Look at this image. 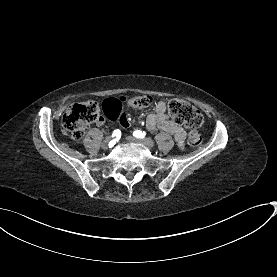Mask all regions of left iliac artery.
<instances>
[{
	"instance_id": "left-iliac-artery-1",
	"label": "left iliac artery",
	"mask_w": 277,
	"mask_h": 277,
	"mask_svg": "<svg viewBox=\"0 0 277 277\" xmlns=\"http://www.w3.org/2000/svg\"><path fill=\"white\" fill-rule=\"evenodd\" d=\"M146 135V133L143 131H140V130H136L133 132V136L136 137V138H144Z\"/></svg>"
}]
</instances>
